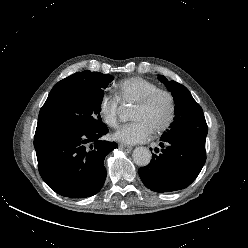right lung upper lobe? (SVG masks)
I'll use <instances>...</instances> for the list:
<instances>
[{
  "label": "right lung upper lobe",
  "mask_w": 248,
  "mask_h": 248,
  "mask_svg": "<svg viewBox=\"0 0 248 248\" xmlns=\"http://www.w3.org/2000/svg\"><path fill=\"white\" fill-rule=\"evenodd\" d=\"M82 72H77L61 81H59L51 90L49 94V98L58 95L59 93L63 92L66 90L68 87L72 86L77 78L81 75Z\"/></svg>",
  "instance_id": "right-lung-upper-lobe-1"
}]
</instances>
